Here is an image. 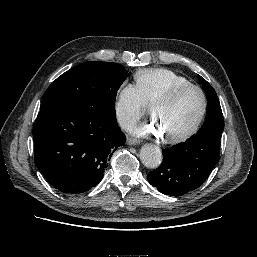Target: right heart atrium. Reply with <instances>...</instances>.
Segmentation results:
<instances>
[{"instance_id": "right-heart-atrium-1", "label": "right heart atrium", "mask_w": 257, "mask_h": 257, "mask_svg": "<svg viewBox=\"0 0 257 257\" xmlns=\"http://www.w3.org/2000/svg\"><path fill=\"white\" fill-rule=\"evenodd\" d=\"M147 108L143 94L136 84L125 83L120 87L115 99V114L122 127L134 125Z\"/></svg>"}]
</instances>
